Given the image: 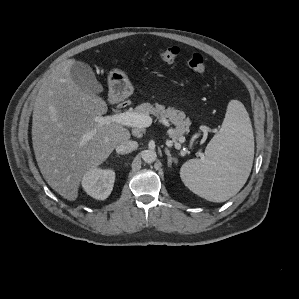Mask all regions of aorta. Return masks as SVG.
Returning <instances> with one entry per match:
<instances>
[{"instance_id": "aorta-1", "label": "aorta", "mask_w": 299, "mask_h": 299, "mask_svg": "<svg viewBox=\"0 0 299 299\" xmlns=\"http://www.w3.org/2000/svg\"><path fill=\"white\" fill-rule=\"evenodd\" d=\"M157 158L156 151L153 149H147L142 152V159L144 162L150 164L153 163Z\"/></svg>"}]
</instances>
